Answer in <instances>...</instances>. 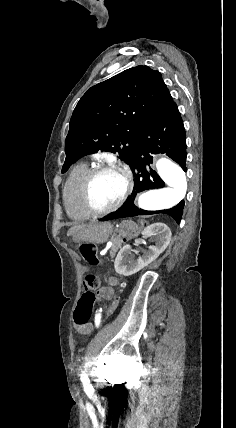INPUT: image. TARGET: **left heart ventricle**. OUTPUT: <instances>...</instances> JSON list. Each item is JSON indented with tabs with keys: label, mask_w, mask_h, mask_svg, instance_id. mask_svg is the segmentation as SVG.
Returning a JSON list of instances; mask_svg holds the SVG:
<instances>
[{
	"label": "left heart ventricle",
	"mask_w": 236,
	"mask_h": 428,
	"mask_svg": "<svg viewBox=\"0 0 236 428\" xmlns=\"http://www.w3.org/2000/svg\"><path fill=\"white\" fill-rule=\"evenodd\" d=\"M126 190V179L120 170L99 174L91 185V199L100 208L116 204Z\"/></svg>",
	"instance_id": "1"
}]
</instances>
